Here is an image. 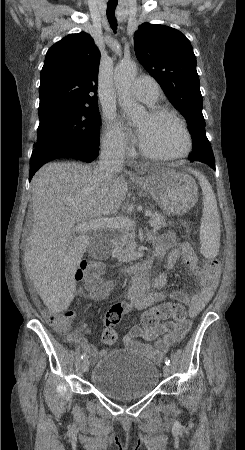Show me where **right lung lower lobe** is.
<instances>
[{"instance_id": "1", "label": "right lung lower lobe", "mask_w": 245, "mask_h": 450, "mask_svg": "<svg viewBox=\"0 0 245 450\" xmlns=\"http://www.w3.org/2000/svg\"><path fill=\"white\" fill-rule=\"evenodd\" d=\"M99 152V148L91 150H75L55 153H44L38 157L30 160L29 181L32 179L35 172L46 162L57 158H75L82 161L90 162L94 160Z\"/></svg>"}]
</instances>
